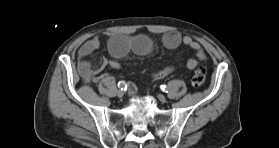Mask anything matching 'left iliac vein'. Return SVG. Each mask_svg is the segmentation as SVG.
I'll return each instance as SVG.
<instances>
[{
    "mask_svg": "<svg viewBox=\"0 0 279 148\" xmlns=\"http://www.w3.org/2000/svg\"><path fill=\"white\" fill-rule=\"evenodd\" d=\"M157 98L161 101V102H166V97L164 96V95H162V94H159L158 96H157Z\"/></svg>",
    "mask_w": 279,
    "mask_h": 148,
    "instance_id": "left-iliac-vein-1",
    "label": "left iliac vein"
}]
</instances>
